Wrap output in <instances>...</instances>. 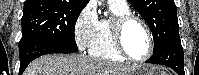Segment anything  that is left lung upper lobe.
Instances as JSON below:
<instances>
[{
    "instance_id": "obj_1",
    "label": "left lung upper lobe",
    "mask_w": 199,
    "mask_h": 75,
    "mask_svg": "<svg viewBox=\"0 0 199 75\" xmlns=\"http://www.w3.org/2000/svg\"><path fill=\"white\" fill-rule=\"evenodd\" d=\"M150 27L153 53L179 39V25L174 0H128Z\"/></svg>"
}]
</instances>
